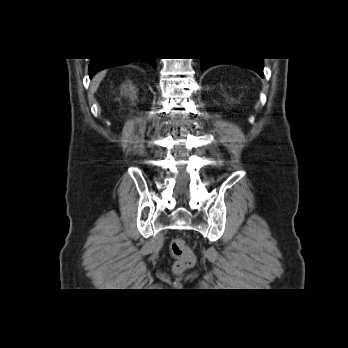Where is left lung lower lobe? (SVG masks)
Here are the masks:
<instances>
[{"instance_id":"0a47b994","label":"left lung lower lobe","mask_w":348,"mask_h":348,"mask_svg":"<svg viewBox=\"0 0 348 348\" xmlns=\"http://www.w3.org/2000/svg\"><path fill=\"white\" fill-rule=\"evenodd\" d=\"M201 69L208 68L217 64H233L238 66H243L254 70L261 77L263 75V61L262 59H254V58H233V59H213V58H201Z\"/></svg>"}]
</instances>
